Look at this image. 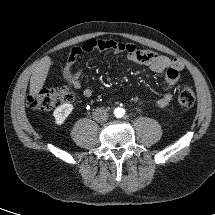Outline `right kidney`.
<instances>
[{
    "label": "right kidney",
    "mask_w": 215,
    "mask_h": 215,
    "mask_svg": "<svg viewBox=\"0 0 215 215\" xmlns=\"http://www.w3.org/2000/svg\"><path fill=\"white\" fill-rule=\"evenodd\" d=\"M73 109H74L73 105L69 103L57 107L53 112L55 123L57 125H62L67 119V117L72 113Z\"/></svg>",
    "instance_id": "obj_1"
}]
</instances>
